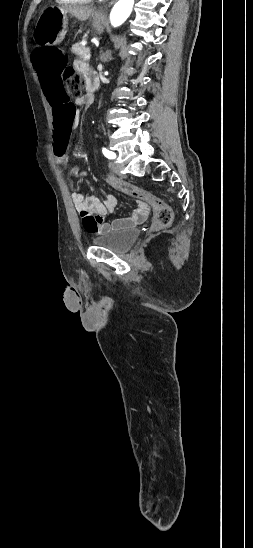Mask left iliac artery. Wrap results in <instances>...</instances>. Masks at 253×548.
Wrapping results in <instances>:
<instances>
[{"mask_svg": "<svg viewBox=\"0 0 253 548\" xmlns=\"http://www.w3.org/2000/svg\"><path fill=\"white\" fill-rule=\"evenodd\" d=\"M102 152L103 154L105 155V157H107L108 159H115L116 155L114 152H111L109 151L108 149L106 148H103L102 149Z\"/></svg>", "mask_w": 253, "mask_h": 548, "instance_id": "1", "label": "left iliac artery"}]
</instances>
